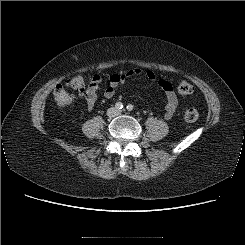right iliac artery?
Wrapping results in <instances>:
<instances>
[{"label":"right iliac artery","instance_id":"82829eb1","mask_svg":"<svg viewBox=\"0 0 245 245\" xmlns=\"http://www.w3.org/2000/svg\"><path fill=\"white\" fill-rule=\"evenodd\" d=\"M116 109L121 110L123 108V104L121 102H117L115 104Z\"/></svg>","mask_w":245,"mask_h":245}]
</instances>
